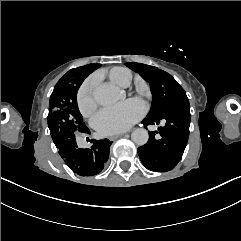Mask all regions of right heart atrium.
Instances as JSON below:
<instances>
[{"label": "right heart atrium", "instance_id": "1", "mask_svg": "<svg viewBox=\"0 0 241 241\" xmlns=\"http://www.w3.org/2000/svg\"><path fill=\"white\" fill-rule=\"evenodd\" d=\"M77 106L83 116L91 115L95 108V100L87 87H82L77 95Z\"/></svg>", "mask_w": 241, "mask_h": 241}]
</instances>
